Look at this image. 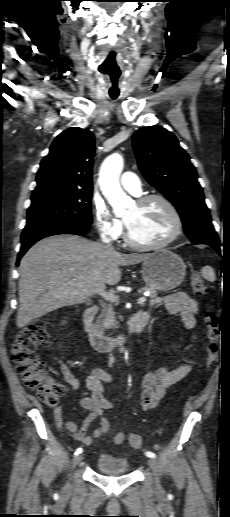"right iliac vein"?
I'll use <instances>...</instances> for the list:
<instances>
[{
	"instance_id": "63e3f726",
	"label": "right iliac vein",
	"mask_w": 230,
	"mask_h": 517,
	"mask_svg": "<svg viewBox=\"0 0 230 517\" xmlns=\"http://www.w3.org/2000/svg\"><path fill=\"white\" fill-rule=\"evenodd\" d=\"M83 460V455H77L73 458V462H72V465L73 467L74 466H77L78 464L81 463V461Z\"/></svg>"
}]
</instances>
